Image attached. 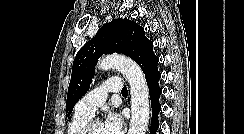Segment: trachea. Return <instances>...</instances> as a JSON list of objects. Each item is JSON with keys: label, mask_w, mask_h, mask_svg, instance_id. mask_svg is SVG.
I'll use <instances>...</instances> for the list:
<instances>
[{"label": "trachea", "mask_w": 244, "mask_h": 134, "mask_svg": "<svg viewBox=\"0 0 244 134\" xmlns=\"http://www.w3.org/2000/svg\"><path fill=\"white\" fill-rule=\"evenodd\" d=\"M127 94H128V90H127L126 87H124V88L122 89V95H127Z\"/></svg>", "instance_id": "3493384b"}]
</instances>
